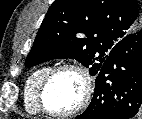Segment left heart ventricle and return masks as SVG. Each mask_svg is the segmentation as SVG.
<instances>
[{
	"label": "left heart ventricle",
	"mask_w": 142,
	"mask_h": 119,
	"mask_svg": "<svg viewBox=\"0 0 142 119\" xmlns=\"http://www.w3.org/2000/svg\"><path fill=\"white\" fill-rule=\"evenodd\" d=\"M82 81L77 73L66 70L57 73L49 82L44 100L47 108L55 112H65L79 102Z\"/></svg>",
	"instance_id": "b2bd125f"
}]
</instances>
